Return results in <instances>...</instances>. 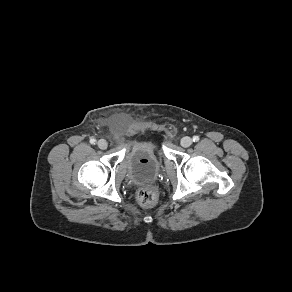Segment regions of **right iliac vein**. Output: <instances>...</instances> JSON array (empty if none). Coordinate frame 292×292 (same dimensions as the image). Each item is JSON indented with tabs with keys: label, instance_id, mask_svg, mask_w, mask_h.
<instances>
[{
	"label": "right iliac vein",
	"instance_id": "obj_1",
	"mask_svg": "<svg viewBox=\"0 0 292 292\" xmlns=\"http://www.w3.org/2000/svg\"><path fill=\"white\" fill-rule=\"evenodd\" d=\"M97 145H98V147H99L100 149H102V150H105V149H107V147H108V143H107V141L104 140V139H100V140L97 142Z\"/></svg>",
	"mask_w": 292,
	"mask_h": 292
}]
</instances>
